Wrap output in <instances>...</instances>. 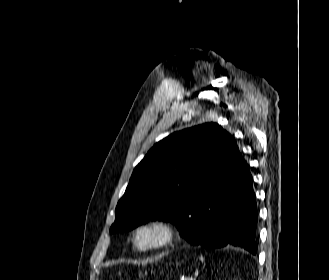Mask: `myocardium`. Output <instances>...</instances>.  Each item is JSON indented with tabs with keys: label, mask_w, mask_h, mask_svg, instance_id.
<instances>
[{
	"label": "myocardium",
	"mask_w": 329,
	"mask_h": 280,
	"mask_svg": "<svg viewBox=\"0 0 329 280\" xmlns=\"http://www.w3.org/2000/svg\"><path fill=\"white\" fill-rule=\"evenodd\" d=\"M155 231L158 234L157 239L147 245H140L137 237L142 231ZM174 227L164 219H149L137 224L131 232V245L138 252L160 251L170 246L174 240Z\"/></svg>",
	"instance_id": "myocardium-1"
}]
</instances>
